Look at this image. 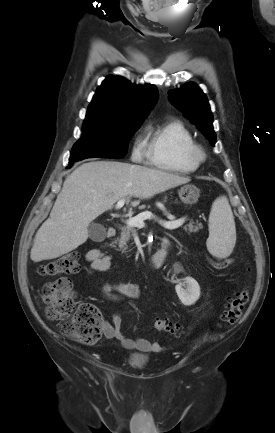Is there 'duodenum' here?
Returning a JSON list of instances; mask_svg holds the SVG:
<instances>
[{
    "label": "duodenum",
    "instance_id": "obj_1",
    "mask_svg": "<svg viewBox=\"0 0 275 433\" xmlns=\"http://www.w3.org/2000/svg\"><path fill=\"white\" fill-rule=\"evenodd\" d=\"M107 235L108 237H114L116 235L115 227L110 226L107 230ZM168 252L169 242L165 240L163 241L162 248L150 257L148 261L149 266L153 269L161 268L166 261Z\"/></svg>",
    "mask_w": 275,
    "mask_h": 433
}]
</instances>
